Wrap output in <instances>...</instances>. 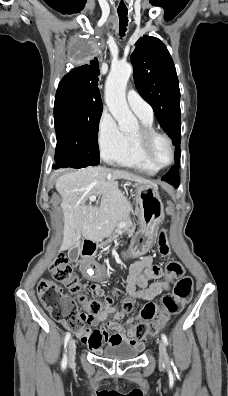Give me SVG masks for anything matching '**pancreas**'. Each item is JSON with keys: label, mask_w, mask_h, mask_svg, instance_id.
Masks as SVG:
<instances>
[{"label": "pancreas", "mask_w": 228, "mask_h": 396, "mask_svg": "<svg viewBox=\"0 0 228 396\" xmlns=\"http://www.w3.org/2000/svg\"><path fill=\"white\" fill-rule=\"evenodd\" d=\"M124 218H131V220H134V217H131V215H120L119 216V218H112L111 220H110V222H109V227H110V232L109 233H112L113 232V229H114V226H115V224H116V222L117 221H120V220H123ZM121 229H123V228H121ZM125 229V231H126V233L128 234L127 236H124V235H117V236H123V237H127V238H130L131 236H132V234L134 233V228H133V225L129 222V224L124 228ZM118 234H121V233H118ZM113 240H115V239H113V238H110L109 239V241L108 240H104V241H102V244H104V245H108L110 242H112ZM117 240V239H116Z\"/></svg>", "instance_id": "cf45deb5"}]
</instances>
